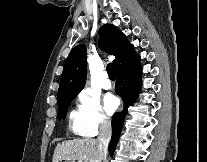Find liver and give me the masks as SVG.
I'll list each match as a JSON object with an SVG mask.
<instances>
[{"mask_svg": "<svg viewBox=\"0 0 207 162\" xmlns=\"http://www.w3.org/2000/svg\"><path fill=\"white\" fill-rule=\"evenodd\" d=\"M84 160L96 162L99 160L98 144L96 139H73L63 141L54 150L52 162Z\"/></svg>", "mask_w": 207, "mask_h": 162, "instance_id": "6515ba94", "label": "liver"}]
</instances>
